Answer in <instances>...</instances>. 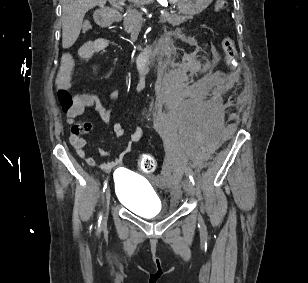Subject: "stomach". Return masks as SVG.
I'll list each match as a JSON object with an SVG mask.
<instances>
[{
    "label": "stomach",
    "mask_w": 308,
    "mask_h": 283,
    "mask_svg": "<svg viewBox=\"0 0 308 283\" xmlns=\"http://www.w3.org/2000/svg\"><path fill=\"white\" fill-rule=\"evenodd\" d=\"M177 6L180 13L185 15H196L205 10L212 0H169Z\"/></svg>",
    "instance_id": "obj_1"
}]
</instances>
